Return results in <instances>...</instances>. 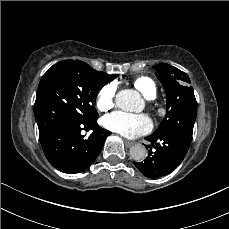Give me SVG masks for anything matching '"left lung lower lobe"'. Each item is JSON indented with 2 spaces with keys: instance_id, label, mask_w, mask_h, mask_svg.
<instances>
[{
  "instance_id": "0a47b994",
  "label": "left lung lower lobe",
  "mask_w": 229,
  "mask_h": 229,
  "mask_svg": "<svg viewBox=\"0 0 229 229\" xmlns=\"http://www.w3.org/2000/svg\"><path fill=\"white\" fill-rule=\"evenodd\" d=\"M145 139L151 142V145L146 147L152 146L155 152L151 151V147L144 162H134V164L144 176L152 179L173 172L182 162L191 143L188 139L165 134H152Z\"/></svg>"
}]
</instances>
